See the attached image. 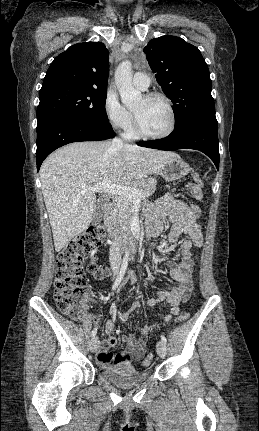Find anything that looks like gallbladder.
Here are the masks:
<instances>
[{"instance_id": "obj_1", "label": "gallbladder", "mask_w": 259, "mask_h": 431, "mask_svg": "<svg viewBox=\"0 0 259 431\" xmlns=\"http://www.w3.org/2000/svg\"><path fill=\"white\" fill-rule=\"evenodd\" d=\"M103 207H104L103 201L98 200L97 204H96V208H95L94 214H93V218H92V222L94 224H98L102 220V217H103Z\"/></svg>"}]
</instances>
